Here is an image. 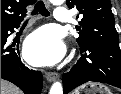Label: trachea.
Masks as SVG:
<instances>
[{
	"mask_svg": "<svg viewBox=\"0 0 121 94\" xmlns=\"http://www.w3.org/2000/svg\"><path fill=\"white\" fill-rule=\"evenodd\" d=\"M40 13L42 16H44V17H47V16H49L50 15V13L48 12V10L46 9V7H45V5H44V3H43V1H38L36 4H35V6H34V9H33V11H32V15H35V14H37V13Z\"/></svg>",
	"mask_w": 121,
	"mask_h": 94,
	"instance_id": "3493384b",
	"label": "trachea"
}]
</instances>
